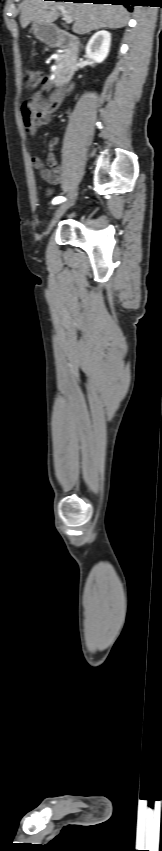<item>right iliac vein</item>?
<instances>
[{"label":"right iliac vein","instance_id":"1","mask_svg":"<svg viewBox=\"0 0 162 851\" xmlns=\"http://www.w3.org/2000/svg\"><path fill=\"white\" fill-rule=\"evenodd\" d=\"M78 195L77 186L73 187L69 192V200L63 204H61L55 211L50 223L48 224L44 234L47 236L52 230L53 226L57 222V220L66 212V210L72 205V202L76 199Z\"/></svg>","mask_w":162,"mask_h":851}]
</instances>
